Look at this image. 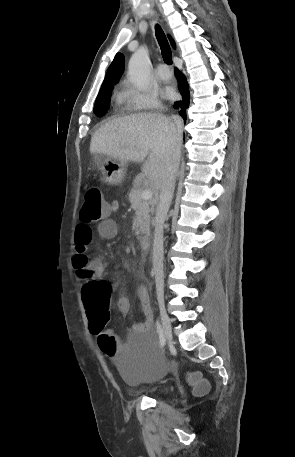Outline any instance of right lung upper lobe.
<instances>
[{
	"label": "right lung upper lobe",
	"mask_w": 295,
	"mask_h": 457,
	"mask_svg": "<svg viewBox=\"0 0 295 457\" xmlns=\"http://www.w3.org/2000/svg\"><path fill=\"white\" fill-rule=\"evenodd\" d=\"M170 43L173 47H175V43L173 39L168 36ZM124 70V56L121 53H117L113 62L111 63L110 67L105 76V80L102 84L101 89L113 87V85L118 81L122 72Z\"/></svg>",
	"instance_id": "obj_1"
}]
</instances>
